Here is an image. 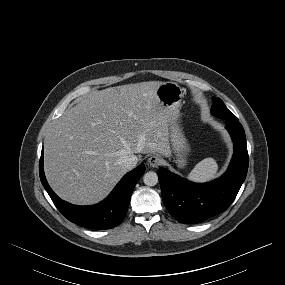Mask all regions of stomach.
Here are the masks:
<instances>
[{
	"instance_id": "0dacf381",
	"label": "stomach",
	"mask_w": 285,
	"mask_h": 285,
	"mask_svg": "<svg viewBox=\"0 0 285 285\" xmlns=\"http://www.w3.org/2000/svg\"><path fill=\"white\" fill-rule=\"evenodd\" d=\"M161 106L170 113V140L177 155V166L184 168L189 150L186 139L178 125L179 108L184 97V89L175 82H161L156 90Z\"/></svg>"
}]
</instances>
